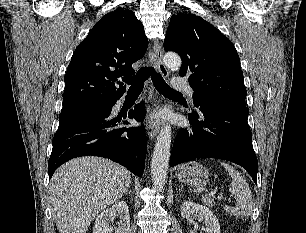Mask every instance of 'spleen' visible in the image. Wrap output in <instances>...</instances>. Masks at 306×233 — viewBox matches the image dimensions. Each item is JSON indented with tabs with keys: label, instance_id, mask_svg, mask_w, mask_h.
Masks as SVG:
<instances>
[{
	"label": "spleen",
	"instance_id": "3e777b00",
	"mask_svg": "<svg viewBox=\"0 0 306 233\" xmlns=\"http://www.w3.org/2000/svg\"><path fill=\"white\" fill-rule=\"evenodd\" d=\"M221 165L232 178L229 191L234 195L236 200L235 207L225 206L224 210L236 218H248L253 209V199L249 185L233 166L224 162Z\"/></svg>",
	"mask_w": 306,
	"mask_h": 233
}]
</instances>
